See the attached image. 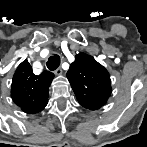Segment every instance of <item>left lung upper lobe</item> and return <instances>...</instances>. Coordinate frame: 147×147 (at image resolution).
I'll return each instance as SVG.
<instances>
[{
	"label": "left lung upper lobe",
	"mask_w": 147,
	"mask_h": 147,
	"mask_svg": "<svg viewBox=\"0 0 147 147\" xmlns=\"http://www.w3.org/2000/svg\"><path fill=\"white\" fill-rule=\"evenodd\" d=\"M66 76L78 102L86 109H100L111 95L108 71L86 53L76 55Z\"/></svg>",
	"instance_id": "obj_1"
}]
</instances>
